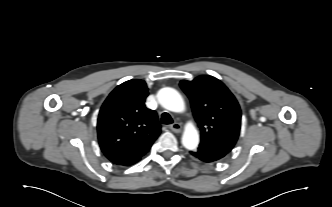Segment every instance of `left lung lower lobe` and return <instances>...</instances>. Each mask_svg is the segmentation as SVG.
Listing matches in <instances>:
<instances>
[{"label": "left lung lower lobe", "instance_id": "left-lung-lower-lobe-1", "mask_svg": "<svg viewBox=\"0 0 332 207\" xmlns=\"http://www.w3.org/2000/svg\"><path fill=\"white\" fill-rule=\"evenodd\" d=\"M190 153L192 156L206 163L217 161L225 156V154L215 150L204 149L200 147L194 151H191Z\"/></svg>", "mask_w": 332, "mask_h": 207}]
</instances>
